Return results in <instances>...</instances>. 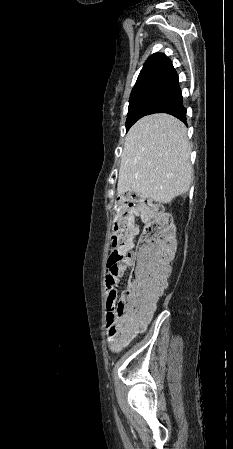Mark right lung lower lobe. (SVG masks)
<instances>
[{
    "mask_svg": "<svg viewBox=\"0 0 233 449\" xmlns=\"http://www.w3.org/2000/svg\"><path fill=\"white\" fill-rule=\"evenodd\" d=\"M159 112L171 114L186 123V109L182 105V100L176 104L162 109Z\"/></svg>",
    "mask_w": 233,
    "mask_h": 449,
    "instance_id": "right-lung-lower-lobe-1",
    "label": "right lung lower lobe"
}]
</instances>
